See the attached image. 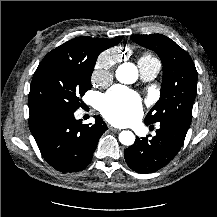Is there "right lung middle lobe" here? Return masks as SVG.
I'll list each match as a JSON object with an SVG mask.
<instances>
[{
	"label": "right lung middle lobe",
	"instance_id": "obj_1",
	"mask_svg": "<svg viewBox=\"0 0 217 217\" xmlns=\"http://www.w3.org/2000/svg\"><path fill=\"white\" fill-rule=\"evenodd\" d=\"M95 63L46 55L31 82L30 116L51 111L75 112L81 106V97L91 89Z\"/></svg>",
	"mask_w": 217,
	"mask_h": 217
}]
</instances>
